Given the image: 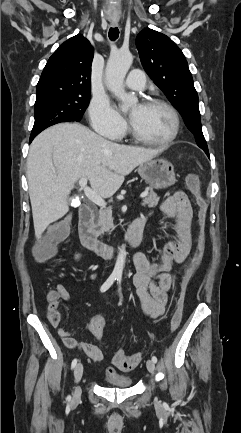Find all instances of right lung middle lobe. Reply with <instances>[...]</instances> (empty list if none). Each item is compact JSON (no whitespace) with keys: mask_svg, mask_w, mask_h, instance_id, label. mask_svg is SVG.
Segmentation results:
<instances>
[{"mask_svg":"<svg viewBox=\"0 0 241 433\" xmlns=\"http://www.w3.org/2000/svg\"><path fill=\"white\" fill-rule=\"evenodd\" d=\"M90 95H53L37 98L35 122L31 135H38L49 126L61 122H79L89 103Z\"/></svg>","mask_w":241,"mask_h":433,"instance_id":"obj_1","label":"right lung middle lobe"}]
</instances>
